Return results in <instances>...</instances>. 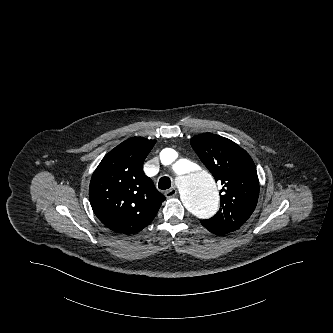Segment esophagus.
<instances>
[{
    "mask_svg": "<svg viewBox=\"0 0 333 333\" xmlns=\"http://www.w3.org/2000/svg\"><path fill=\"white\" fill-rule=\"evenodd\" d=\"M178 191L176 187H173L165 192L166 198H174L177 195Z\"/></svg>",
    "mask_w": 333,
    "mask_h": 333,
    "instance_id": "esophagus-1",
    "label": "esophagus"
}]
</instances>
